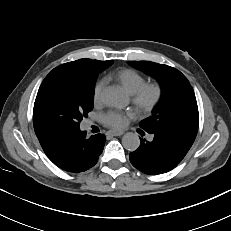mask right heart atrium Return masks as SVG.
Here are the masks:
<instances>
[{
  "mask_svg": "<svg viewBox=\"0 0 231 231\" xmlns=\"http://www.w3.org/2000/svg\"><path fill=\"white\" fill-rule=\"evenodd\" d=\"M104 86H105V82L99 81L96 83V85L94 86V90H93V100L95 103H98L101 100V96H102V92L104 90Z\"/></svg>",
  "mask_w": 231,
  "mask_h": 231,
  "instance_id": "1",
  "label": "right heart atrium"
}]
</instances>
